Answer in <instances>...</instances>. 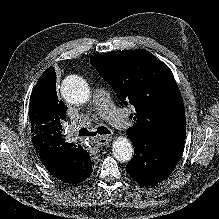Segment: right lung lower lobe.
I'll list each match as a JSON object with an SVG mask.
<instances>
[{"label":"right lung lower lobe","instance_id":"98d812e1","mask_svg":"<svg viewBox=\"0 0 219 219\" xmlns=\"http://www.w3.org/2000/svg\"><path fill=\"white\" fill-rule=\"evenodd\" d=\"M84 149L82 147H78L77 149L75 147H69L68 150H60V151H53L51 154H49V157H54V155H58V152H63L69 159L68 161H71V165L73 167V175L71 178H61L59 176H56V174L51 170L48 169V171L58 179L66 182V183H80L84 180H86L90 175L92 170V162L90 159H87L84 157ZM87 153V152H86ZM89 155V154H88Z\"/></svg>","mask_w":219,"mask_h":219}]
</instances>
